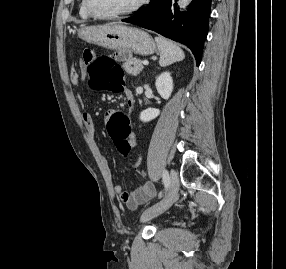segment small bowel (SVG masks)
I'll return each instance as SVG.
<instances>
[{
	"label": "small bowel",
	"mask_w": 286,
	"mask_h": 269,
	"mask_svg": "<svg viewBox=\"0 0 286 269\" xmlns=\"http://www.w3.org/2000/svg\"><path fill=\"white\" fill-rule=\"evenodd\" d=\"M86 65L87 63L86 61H84L80 63L79 71L75 68H72L70 70L69 77L73 85H77L79 83L80 76L85 72ZM121 92L125 95L127 106L129 110H131L134 105V100H133L131 92L126 88L125 89L122 88ZM113 114H114V110H109L106 112L105 115L102 116V119L106 120V122L108 123V121L111 120V116H113ZM81 117H82V122L85 128L88 131H93L94 121H93L91 114L88 112H83ZM128 130L130 131L129 126H128ZM130 141H131L132 146H136L137 143H136L135 136L131 132H130ZM141 162H142V155H139L137 160L131 165V168L133 170H137ZM113 192L115 195L119 196L123 202H125L126 206L129 209H132V210H135L140 205L148 202L156 194L155 189L148 183L143 184L141 187H139L137 190L131 193L124 192L121 185H115L113 187Z\"/></svg>",
	"instance_id": "small-bowel-1"
}]
</instances>
